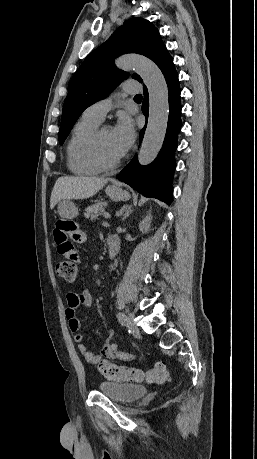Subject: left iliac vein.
Listing matches in <instances>:
<instances>
[{
  "instance_id": "obj_1",
  "label": "left iliac vein",
  "mask_w": 257,
  "mask_h": 459,
  "mask_svg": "<svg viewBox=\"0 0 257 459\" xmlns=\"http://www.w3.org/2000/svg\"><path fill=\"white\" fill-rule=\"evenodd\" d=\"M127 319L129 321V331L133 335H138L139 334V328L137 327L135 321H134V315L133 314H128Z\"/></svg>"
}]
</instances>
